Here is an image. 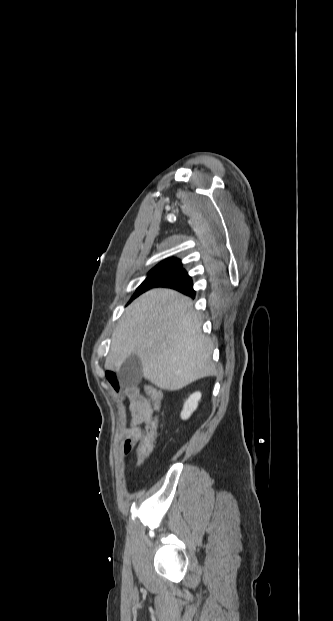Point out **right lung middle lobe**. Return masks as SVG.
Returning a JSON list of instances; mask_svg holds the SVG:
<instances>
[{"mask_svg": "<svg viewBox=\"0 0 333 621\" xmlns=\"http://www.w3.org/2000/svg\"><path fill=\"white\" fill-rule=\"evenodd\" d=\"M182 263L177 259H167L159 263L155 266L148 274L146 280L137 288L135 294L132 299L136 298L141 293L147 291L152 288L156 283H158L163 277H166L178 269H180Z\"/></svg>", "mask_w": 333, "mask_h": 621, "instance_id": "dd1d6c3e", "label": "right lung middle lobe"}]
</instances>
